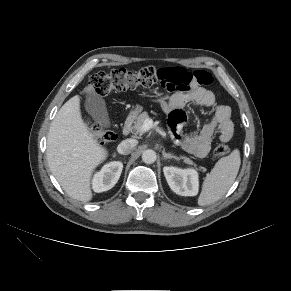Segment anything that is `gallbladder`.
Returning <instances> with one entry per match:
<instances>
[{
  "label": "gallbladder",
  "instance_id": "bac80fb5",
  "mask_svg": "<svg viewBox=\"0 0 291 291\" xmlns=\"http://www.w3.org/2000/svg\"><path fill=\"white\" fill-rule=\"evenodd\" d=\"M84 108L95 123L103 127L110 126V119L106 108V103L104 99L98 94L94 92L88 93L85 98Z\"/></svg>",
  "mask_w": 291,
  "mask_h": 291
}]
</instances>
